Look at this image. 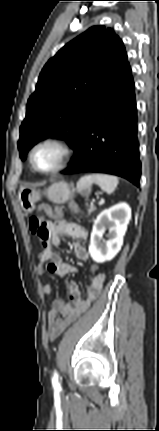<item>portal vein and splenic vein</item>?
Instances as JSON below:
<instances>
[{"label": "portal vein and splenic vein", "mask_w": 159, "mask_h": 431, "mask_svg": "<svg viewBox=\"0 0 159 431\" xmlns=\"http://www.w3.org/2000/svg\"><path fill=\"white\" fill-rule=\"evenodd\" d=\"M99 204H103V201H100Z\"/></svg>", "instance_id": "obj_1"}]
</instances>
